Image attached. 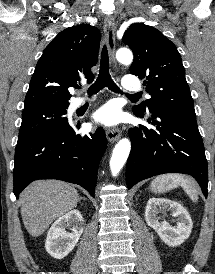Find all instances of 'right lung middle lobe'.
Instances as JSON below:
<instances>
[{"mask_svg": "<svg viewBox=\"0 0 215 274\" xmlns=\"http://www.w3.org/2000/svg\"><path fill=\"white\" fill-rule=\"evenodd\" d=\"M67 108L65 105L49 104L24 109L16 147L39 133L67 122L64 116Z\"/></svg>", "mask_w": 215, "mask_h": 274, "instance_id": "dd1d6c3e", "label": "right lung middle lobe"}]
</instances>
